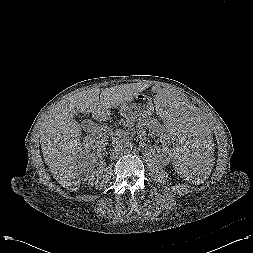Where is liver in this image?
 Returning <instances> with one entry per match:
<instances>
[{
    "instance_id": "liver-1",
    "label": "liver",
    "mask_w": 253,
    "mask_h": 253,
    "mask_svg": "<svg viewBox=\"0 0 253 253\" xmlns=\"http://www.w3.org/2000/svg\"><path fill=\"white\" fill-rule=\"evenodd\" d=\"M147 88L141 83L121 84L100 91L94 87L62 100L44 119L40 127L43 157L53 177L61 186L77 191L81 181L77 170V154L82 134L74 119L78 112L95 115L131 101Z\"/></svg>"
}]
</instances>
